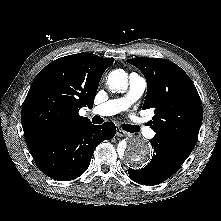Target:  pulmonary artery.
Instances as JSON below:
<instances>
[{
	"label": "pulmonary artery",
	"instance_id": "e3ab8cb5",
	"mask_svg": "<svg viewBox=\"0 0 221 221\" xmlns=\"http://www.w3.org/2000/svg\"><path fill=\"white\" fill-rule=\"evenodd\" d=\"M147 87L146 79L137 73H131L128 78V91L124 97L108 100L93 109V113L100 116H112L128 109L144 93ZM132 121L138 128V132L146 137H154L155 132L145 122L133 116Z\"/></svg>",
	"mask_w": 221,
	"mask_h": 221
}]
</instances>
